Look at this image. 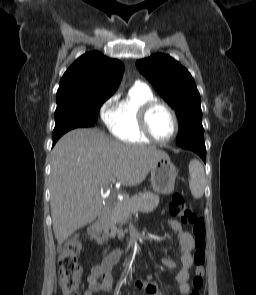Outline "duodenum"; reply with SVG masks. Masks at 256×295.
Returning <instances> with one entry per match:
<instances>
[{
    "instance_id": "duodenum-1",
    "label": "duodenum",
    "mask_w": 256,
    "mask_h": 295,
    "mask_svg": "<svg viewBox=\"0 0 256 295\" xmlns=\"http://www.w3.org/2000/svg\"><path fill=\"white\" fill-rule=\"evenodd\" d=\"M109 213V208L106 206H102L97 221L88 229V234L90 238L99 246L104 245L103 225L108 221ZM109 254L110 253H107L105 251V259L109 256Z\"/></svg>"
}]
</instances>
